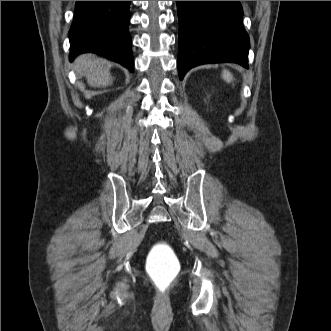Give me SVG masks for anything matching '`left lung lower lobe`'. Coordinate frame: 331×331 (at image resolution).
<instances>
[{
	"instance_id": "left-lung-lower-lobe-1",
	"label": "left lung lower lobe",
	"mask_w": 331,
	"mask_h": 331,
	"mask_svg": "<svg viewBox=\"0 0 331 331\" xmlns=\"http://www.w3.org/2000/svg\"><path fill=\"white\" fill-rule=\"evenodd\" d=\"M179 19L178 71L234 62L248 68L249 37L240 1H176Z\"/></svg>"
}]
</instances>
